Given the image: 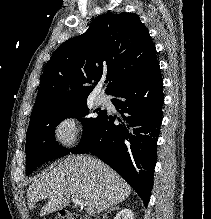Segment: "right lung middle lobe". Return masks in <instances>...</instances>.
<instances>
[{
  "mask_svg": "<svg viewBox=\"0 0 211 219\" xmlns=\"http://www.w3.org/2000/svg\"><path fill=\"white\" fill-rule=\"evenodd\" d=\"M88 112L89 109L86 105V99H82L60 107L50 113L30 119L26 136L27 175L42 163L70 153L71 149L64 148L55 141V127L66 118H81L87 115ZM94 112L98 114L96 118H86L82 121L84 126L83 137L94 129L101 117L106 113L105 110L99 109Z\"/></svg>",
  "mask_w": 211,
  "mask_h": 219,
  "instance_id": "1",
  "label": "right lung middle lobe"
}]
</instances>
